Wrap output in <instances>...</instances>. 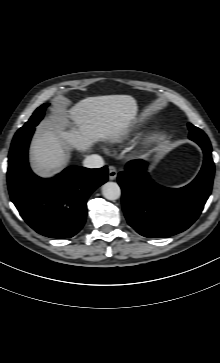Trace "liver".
<instances>
[{
	"instance_id": "liver-1",
	"label": "liver",
	"mask_w": 220,
	"mask_h": 363,
	"mask_svg": "<svg viewBox=\"0 0 220 363\" xmlns=\"http://www.w3.org/2000/svg\"><path fill=\"white\" fill-rule=\"evenodd\" d=\"M137 102L130 95H107L85 98L67 111V118L39 128L31 145L34 170L52 175L69 161L68 150L86 151L94 143L115 140L135 120ZM72 121L69 130L66 127Z\"/></svg>"
}]
</instances>
